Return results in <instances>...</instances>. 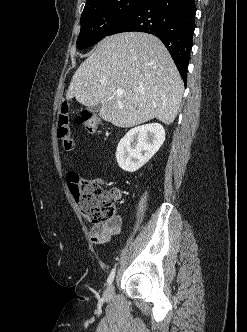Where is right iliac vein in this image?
I'll list each match as a JSON object with an SVG mask.
<instances>
[{"label":"right iliac vein","mask_w":247,"mask_h":332,"mask_svg":"<svg viewBox=\"0 0 247 332\" xmlns=\"http://www.w3.org/2000/svg\"><path fill=\"white\" fill-rule=\"evenodd\" d=\"M113 290H114L113 285H110V286L106 289V291H105V296H107V297L112 296V294H113Z\"/></svg>","instance_id":"63e3f726"}]
</instances>
